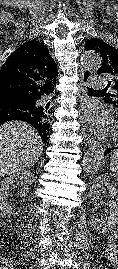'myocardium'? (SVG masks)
I'll return each mask as SVG.
<instances>
[{
	"mask_svg": "<svg viewBox=\"0 0 118 269\" xmlns=\"http://www.w3.org/2000/svg\"><path fill=\"white\" fill-rule=\"evenodd\" d=\"M113 133L118 136V118H116L113 122Z\"/></svg>",
	"mask_w": 118,
	"mask_h": 269,
	"instance_id": "f54148a6",
	"label": "myocardium"
}]
</instances>
